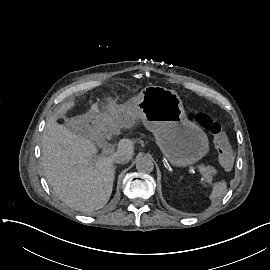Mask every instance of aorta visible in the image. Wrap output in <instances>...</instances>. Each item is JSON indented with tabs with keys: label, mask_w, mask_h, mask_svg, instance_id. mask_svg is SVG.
I'll return each mask as SVG.
<instances>
[{
	"label": "aorta",
	"mask_w": 270,
	"mask_h": 270,
	"mask_svg": "<svg viewBox=\"0 0 270 270\" xmlns=\"http://www.w3.org/2000/svg\"><path fill=\"white\" fill-rule=\"evenodd\" d=\"M154 164L148 156H139L136 159V169L140 173H150L153 171Z\"/></svg>",
	"instance_id": "obj_1"
}]
</instances>
